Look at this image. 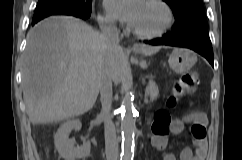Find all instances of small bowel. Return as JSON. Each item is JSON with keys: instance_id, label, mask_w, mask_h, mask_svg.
Here are the masks:
<instances>
[{"instance_id": "c3829d8e", "label": "small bowel", "mask_w": 242, "mask_h": 160, "mask_svg": "<svg viewBox=\"0 0 242 160\" xmlns=\"http://www.w3.org/2000/svg\"><path fill=\"white\" fill-rule=\"evenodd\" d=\"M191 124V134L193 136L194 149L184 148L180 153V160H205L207 152L206 143V119L203 114L193 112L186 115L183 119H173L165 133H156L152 130L151 143L161 152L163 160H176L175 156L167 151L168 138L167 134H180L185 128V124ZM200 127L201 135L198 136L194 128Z\"/></svg>"}]
</instances>
